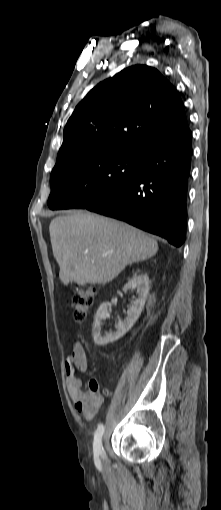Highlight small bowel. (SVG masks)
<instances>
[{"instance_id":"small-bowel-1","label":"small bowel","mask_w":221,"mask_h":510,"mask_svg":"<svg viewBox=\"0 0 221 510\" xmlns=\"http://www.w3.org/2000/svg\"><path fill=\"white\" fill-rule=\"evenodd\" d=\"M76 370L83 373L88 371V359L83 344L75 341L72 345L71 353L65 359V372L67 380V389L74 403V407L85 419L91 420L97 414V410H89L83 403L82 387L83 381L76 376Z\"/></svg>"}]
</instances>
